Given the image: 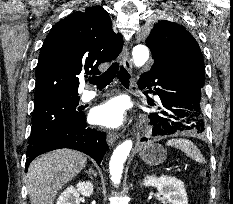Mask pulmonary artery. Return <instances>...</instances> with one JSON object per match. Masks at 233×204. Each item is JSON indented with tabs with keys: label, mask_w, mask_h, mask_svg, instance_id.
Segmentation results:
<instances>
[{
	"label": "pulmonary artery",
	"mask_w": 233,
	"mask_h": 204,
	"mask_svg": "<svg viewBox=\"0 0 233 204\" xmlns=\"http://www.w3.org/2000/svg\"><path fill=\"white\" fill-rule=\"evenodd\" d=\"M96 96H97V93L95 91L87 90L81 94L80 100L83 102H88V101L94 99Z\"/></svg>",
	"instance_id": "e3ab8cb5"
}]
</instances>
